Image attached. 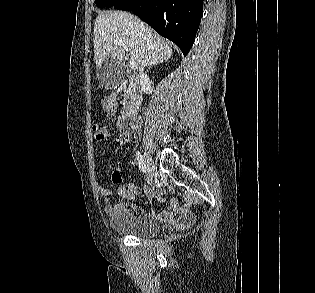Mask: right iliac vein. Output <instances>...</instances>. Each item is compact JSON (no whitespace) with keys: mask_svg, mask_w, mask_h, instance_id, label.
I'll use <instances>...</instances> for the list:
<instances>
[{"mask_svg":"<svg viewBox=\"0 0 315 293\" xmlns=\"http://www.w3.org/2000/svg\"><path fill=\"white\" fill-rule=\"evenodd\" d=\"M145 162H146V166H147V171H148V175L149 178L152 181V178L155 176L156 174V167L154 164V161L152 160V158L150 157L149 154L145 153Z\"/></svg>","mask_w":315,"mask_h":293,"instance_id":"obj_1","label":"right iliac vein"}]
</instances>
